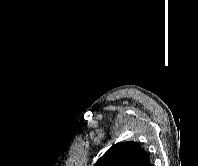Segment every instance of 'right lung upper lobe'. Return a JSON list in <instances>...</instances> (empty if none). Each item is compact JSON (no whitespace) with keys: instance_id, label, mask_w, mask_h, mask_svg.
Returning <instances> with one entry per match:
<instances>
[{"instance_id":"obj_1","label":"right lung upper lobe","mask_w":198,"mask_h":166,"mask_svg":"<svg viewBox=\"0 0 198 166\" xmlns=\"http://www.w3.org/2000/svg\"><path fill=\"white\" fill-rule=\"evenodd\" d=\"M94 166H151L147 152L136 142H120L110 148Z\"/></svg>"}]
</instances>
